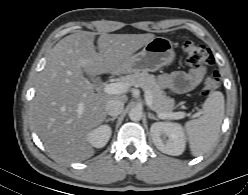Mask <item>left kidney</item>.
<instances>
[{"label":"left kidney","instance_id":"left-kidney-1","mask_svg":"<svg viewBox=\"0 0 248 195\" xmlns=\"http://www.w3.org/2000/svg\"><path fill=\"white\" fill-rule=\"evenodd\" d=\"M151 136L155 146L163 153L178 156L186 146V137L178 123L156 122L151 125Z\"/></svg>","mask_w":248,"mask_h":195}]
</instances>
